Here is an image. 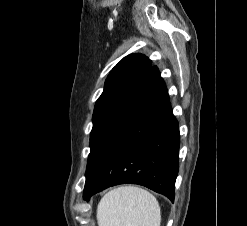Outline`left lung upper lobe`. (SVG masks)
I'll return each mask as SVG.
<instances>
[{"instance_id":"5c2ea615","label":"left lung upper lobe","mask_w":247,"mask_h":226,"mask_svg":"<svg viewBox=\"0 0 247 226\" xmlns=\"http://www.w3.org/2000/svg\"><path fill=\"white\" fill-rule=\"evenodd\" d=\"M151 68V61L146 56L130 54L111 70L103 93L95 104L90 148Z\"/></svg>"}]
</instances>
